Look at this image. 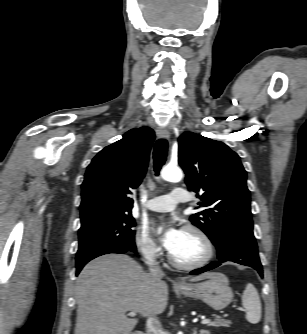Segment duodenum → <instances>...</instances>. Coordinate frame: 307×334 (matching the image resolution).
<instances>
[{
    "mask_svg": "<svg viewBox=\"0 0 307 334\" xmlns=\"http://www.w3.org/2000/svg\"><path fill=\"white\" fill-rule=\"evenodd\" d=\"M133 334H144V332H143V331H140V330H137V331H135Z\"/></svg>",
    "mask_w": 307,
    "mask_h": 334,
    "instance_id": "1",
    "label": "duodenum"
}]
</instances>
